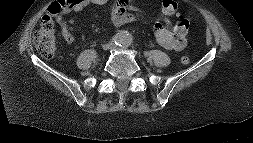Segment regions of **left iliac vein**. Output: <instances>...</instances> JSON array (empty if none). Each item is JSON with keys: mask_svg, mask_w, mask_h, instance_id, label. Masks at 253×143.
<instances>
[{"mask_svg": "<svg viewBox=\"0 0 253 143\" xmlns=\"http://www.w3.org/2000/svg\"><path fill=\"white\" fill-rule=\"evenodd\" d=\"M112 48L113 49H118V47L116 46V45H114V44H112ZM125 49V48H124Z\"/></svg>", "mask_w": 253, "mask_h": 143, "instance_id": "4c4485c4", "label": "left iliac vein"}]
</instances>
